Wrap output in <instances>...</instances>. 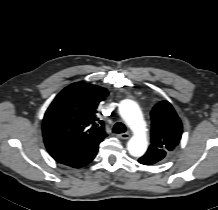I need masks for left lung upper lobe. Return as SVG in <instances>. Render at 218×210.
I'll return each instance as SVG.
<instances>
[{
    "label": "left lung upper lobe",
    "instance_id": "left-lung-upper-lobe-1",
    "mask_svg": "<svg viewBox=\"0 0 218 210\" xmlns=\"http://www.w3.org/2000/svg\"><path fill=\"white\" fill-rule=\"evenodd\" d=\"M151 120V145L140 158L144 165L163 160L179 144L182 136V123L168 101H161L154 106Z\"/></svg>",
    "mask_w": 218,
    "mask_h": 210
}]
</instances>
